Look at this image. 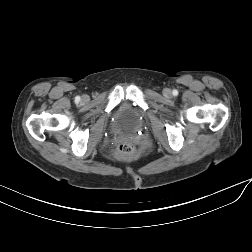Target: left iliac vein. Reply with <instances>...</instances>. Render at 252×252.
<instances>
[{"label":"left iliac vein","instance_id":"left-iliac-vein-1","mask_svg":"<svg viewBox=\"0 0 252 252\" xmlns=\"http://www.w3.org/2000/svg\"><path fill=\"white\" fill-rule=\"evenodd\" d=\"M163 94H164L165 96H171V94H172L171 89L165 88L164 91H163Z\"/></svg>","mask_w":252,"mask_h":252}]
</instances>
